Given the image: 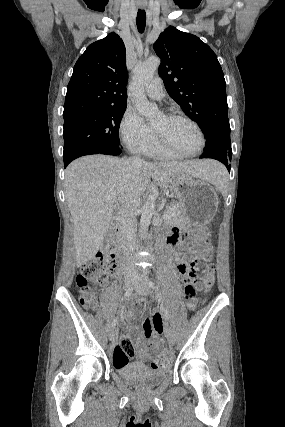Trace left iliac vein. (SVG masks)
<instances>
[{
  "mask_svg": "<svg viewBox=\"0 0 285 427\" xmlns=\"http://www.w3.org/2000/svg\"><path fill=\"white\" fill-rule=\"evenodd\" d=\"M134 287H135V291L138 294L147 295L150 293V288L144 282H141V281L135 282ZM167 340L170 345L175 344V339H174L171 328L167 330Z\"/></svg>",
  "mask_w": 285,
  "mask_h": 427,
  "instance_id": "left-iliac-vein-1",
  "label": "left iliac vein"
}]
</instances>
